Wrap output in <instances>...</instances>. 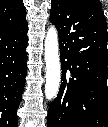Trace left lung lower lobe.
<instances>
[{
	"label": "left lung lower lobe",
	"instance_id": "0a47b994",
	"mask_svg": "<svg viewBox=\"0 0 108 127\" xmlns=\"http://www.w3.org/2000/svg\"><path fill=\"white\" fill-rule=\"evenodd\" d=\"M50 19L59 33L62 83L47 127H108V32L101 6L52 0Z\"/></svg>",
	"mask_w": 108,
	"mask_h": 127
}]
</instances>
